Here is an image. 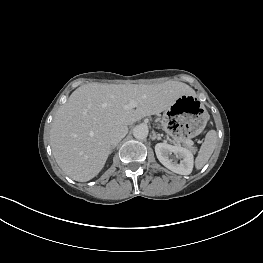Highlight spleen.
Wrapping results in <instances>:
<instances>
[{"label":"spleen","instance_id":"1","mask_svg":"<svg viewBox=\"0 0 263 263\" xmlns=\"http://www.w3.org/2000/svg\"><path fill=\"white\" fill-rule=\"evenodd\" d=\"M217 143V133L215 130H211L206 134L204 143L202 144L198 156L195 160V166L197 169H201L211 157Z\"/></svg>","mask_w":263,"mask_h":263}]
</instances>
